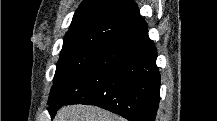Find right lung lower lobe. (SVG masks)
I'll use <instances>...</instances> for the list:
<instances>
[{"instance_id": "1", "label": "right lung lower lobe", "mask_w": 217, "mask_h": 121, "mask_svg": "<svg viewBox=\"0 0 217 121\" xmlns=\"http://www.w3.org/2000/svg\"><path fill=\"white\" fill-rule=\"evenodd\" d=\"M157 51L139 15L118 33L94 62L49 99L52 116L62 105L90 104L130 121H154L160 99Z\"/></svg>"}]
</instances>
